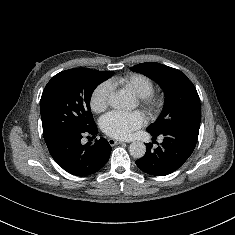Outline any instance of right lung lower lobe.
<instances>
[{
	"label": "right lung lower lobe",
	"mask_w": 235,
	"mask_h": 235,
	"mask_svg": "<svg viewBox=\"0 0 235 235\" xmlns=\"http://www.w3.org/2000/svg\"><path fill=\"white\" fill-rule=\"evenodd\" d=\"M85 133L96 135V124L87 131H65L47 144L52 158L63 169L76 176H86L100 170L109 160L112 150L108 141L102 137L93 145H82L80 140Z\"/></svg>",
	"instance_id": "98d812e1"
}]
</instances>
